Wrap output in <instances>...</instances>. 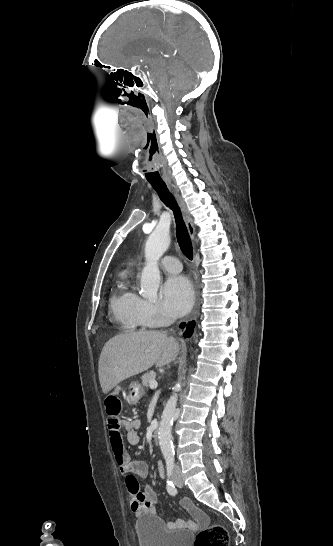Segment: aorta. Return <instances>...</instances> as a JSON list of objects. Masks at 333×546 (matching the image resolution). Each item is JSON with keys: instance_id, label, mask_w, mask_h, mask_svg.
I'll return each instance as SVG.
<instances>
[{"instance_id": "aorta-1", "label": "aorta", "mask_w": 333, "mask_h": 546, "mask_svg": "<svg viewBox=\"0 0 333 546\" xmlns=\"http://www.w3.org/2000/svg\"><path fill=\"white\" fill-rule=\"evenodd\" d=\"M170 245L169 232L157 227L148 237L145 245L146 263L141 274L140 287L144 297L149 300L157 298L160 283V270L158 261ZM181 390V381L173 387V393L168 399L161 417L158 438L163 455H172L174 447L172 443V425L176 410L178 392Z\"/></svg>"}]
</instances>
